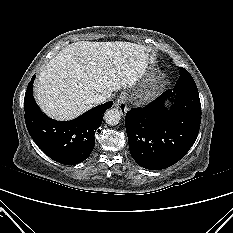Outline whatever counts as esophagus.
I'll return each instance as SVG.
<instances>
[{
    "label": "esophagus",
    "mask_w": 233,
    "mask_h": 233,
    "mask_svg": "<svg viewBox=\"0 0 233 233\" xmlns=\"http://www.w3.org/2000/svg\"><path fill=\"white\" fill-rule=\"evenodd\" d=\"M126 102H127L126 94L121 93L115 103V107L120 111L122 115H125L128 111Z\"/></svg>",
    "instance_id": "obj_1"
}]
</instances>
